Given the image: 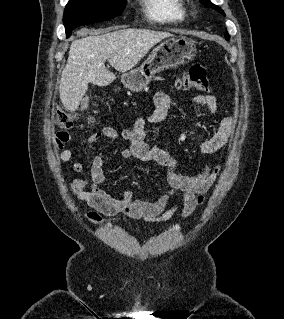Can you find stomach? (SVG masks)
I'll return each instance as SVG.
<instances>
[{
	"label": "stomach",
	"instance_id": "1",
	"mask_svg": "<svg viewBox=\"0 0 284 319\" xmlns=\"http://www.w3.org/2000/svg\"><path fill=\"white\" fill-rule=\"evenodd\" d=\"M196 55L195 42L187 37H172L155 47L148 59L137 69L124 73L121 81L125 88L139 92L146 88L155 74L183 65Z\"/></svg>",
	"mask_w": 284,
	"mask_h": 319
}]
</instances>
